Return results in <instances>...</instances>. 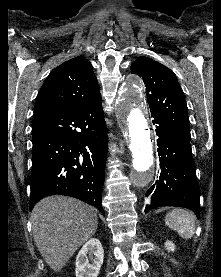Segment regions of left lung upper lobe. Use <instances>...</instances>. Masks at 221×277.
Listing matches in <instances>:
<instances>
[{
    "instance_id": "obj_1",
    "label": "left lung upper lobe",
    "mask_w": 221,
    "mask_h": 277,
    "mask_svg": "<svg viewBox=\"0 0 221 277\" xmlns=\"http://www.w3.org/2000/svg\"><path fill=\"white\" fill-rule=\"evenodd\" d=\"M131 72L142 77L151 116L160 119L179 137L190 142L189 118L183 90L176 75L147 57L131 64Z\"/></svg>"
}]
</instances>
